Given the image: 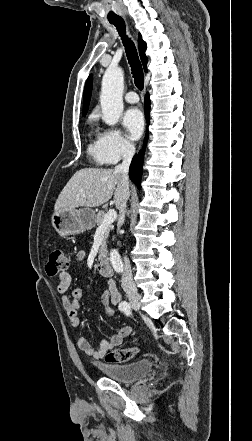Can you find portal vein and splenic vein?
<instances>
[{"label":"portal vein and splenic vein","instance_id":"portal-vein-and-splenic-vein-1","mask_svg":"<svg viewBox=\"0 0 252 441\" xmlns=\"http://www.w3.org/2000/svg\"><path fill=\"white\" fill-rule=\"evenodd\" d=\"M117 218V213L115 210L111 209L109 210L105 216L104 219L102 221V224L100 225V227H105L108 226L110 224H112Z\"/></svg>","mask_w":252,"mask_h":441}]
</instances>
